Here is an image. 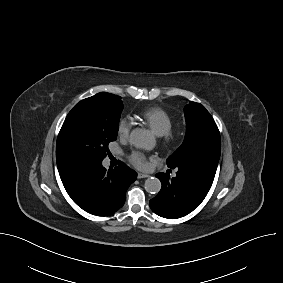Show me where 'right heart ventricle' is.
<instances>
[{
	"label": "right heart ventricle",
	"instance_id": "obj_1",
	"mask_svg": "<svg viewBox=\"0 0 283 283\" xmlns=\"http://www.w3.org/2000/svg\"><path fill=\"white\" fill-rule=\"evenodd\" d=\"M140 118L159 136L170 131L173 126L172 117L159 107L145 109L140 113Z\"/></svg>",
	"mask_w": 283,
	"mask_h": 283
}]
</instances>
